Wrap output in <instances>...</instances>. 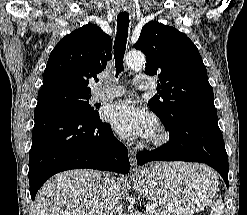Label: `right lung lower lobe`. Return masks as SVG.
Here are the masks:
<instances>
[{
    "instance_id": "1",
    "label": "right lung lower lobe",
    "mask_w": 247,
    "mask_h": 215,
    "mask_svg": "<svg viewBox=\"0 0 247 215\" xmlns=\"http://www.w3.org/2000/svg\"><path fill=\"white\" fill-rule=\"evenodd\" d=\"M34 119L28 173L32 200L58 172L77 168L129 171L126 147L99 115L84 116L48 99H38Z\"/></svg>"
}]
</instances>
